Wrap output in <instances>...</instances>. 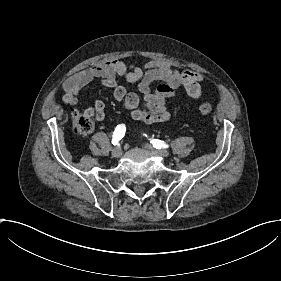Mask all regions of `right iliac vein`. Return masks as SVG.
<instances>
[{
  "label": "right iliac vein",
  "instance_id": "1",
  "mask_svg": "<svg viewBox=\"0 0 281 281\" xmlns=\"http://www.w3.org/2000/svg\"><path fill=\"white\" fill-rule=\"evenodd\" d=\"M121 154H122V151H121V149L119 148V147H116L115 149H114V151H113V157L114 158H119L120 156H121Z\"/></svg>",
  "mask_w": 281,
  "mask_h": 281
}]
</instances>
